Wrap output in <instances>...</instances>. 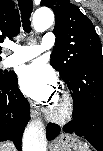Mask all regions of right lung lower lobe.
Masks as SVG:
<instances>
[{
  "label": "right lung lower lobe",
  "mask_w": 103,
  "mask_h": 151,
  "mask_svg": "<svg viewBox=\"0 0 103 151\" xmlns=\"http://www.w3.org/2000/svg\"><path fill=\"white\" fill-rule=\"evenodd\" d=\"M29 114V103L17 86V77L0 82V141L11 140L20 151Z\"/></svg>",
  "instance_id": "1"
}]
</instances>
